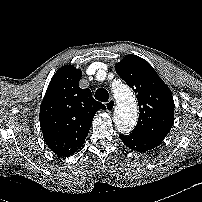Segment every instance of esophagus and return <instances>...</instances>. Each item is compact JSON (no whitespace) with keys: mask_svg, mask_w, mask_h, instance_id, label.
<instances>
[{"mask_svg":"<svg viewBox=\"0 0 202 202\" xmlns=\"http://www.w3.org/2000/svg\"><path fill=\"white\" fill-rule=\"evenodd\" d=\"M115 106H116L115 100H114V99H110V100L106 103V110H107L108 112H110V111L114 110Z\"/></svg>","mask_w":202,"mask_h":202,"instance_id":"1","label":"esophagus"}]
</instances>
